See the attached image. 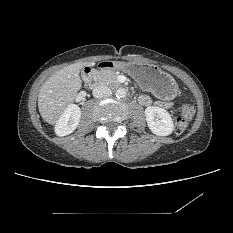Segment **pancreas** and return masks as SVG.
Instances as JSON below:
<instances>
[{
    "label": "pancreas",
    "mask_w": 233,
    "mask_h": 233,
    "mask_svg": "<svg viewBox=\"0 0 233 233\" xmlns=\"http://www.w3.org/2000/svg\"><path fill=\"white\" fill-rule=\"evenodd\" d=\"M95 79L99 84H117V76L111 70H99L95 72Z\"/></svg>",
    "instance_id": "pancreas-1"
}]
</instances>
